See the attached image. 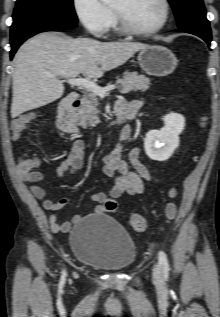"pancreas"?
<instances>
[{
	"mask_svg": "<svg viewBox=\"0 0 220 317\" xmlns=\"http://www.w3.org/2000/svg\"><path fill=\"white\" fill-rule=\"evenodd\" d=\"M119 91L122 94L132 90L146 91L150 85V79L137 72L125 73L122 79L117 81ZM81 109L77 116V124L82 128L95 127L99 123L98 118V97L93 92L85 94L81 101Z\"/></svg>",
	"mask_w": 220,
	"mask_h": 317,
	"instance_id": "1",
	"label": "pancreas"
}]
</instances>
